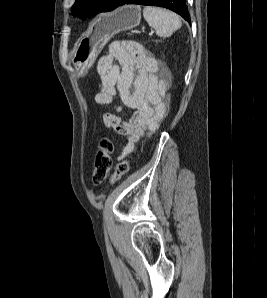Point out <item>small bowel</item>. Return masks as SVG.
Returning <instances> with one entry per match:
<instances>
[{"label": "small bowel", "instance_id": "1", "mask_svg": "<svg viewBox=\"0 0 267 298\" xmlns=\"http://www.w3.org/2000/svg\"><path fill=\"white\" fill-rule=\"evenodd\" d=\"M97 71L100 82L95 101L112 106L114 112L104 113L102 122L126 138L125 156L135 150L142 137L157 130L166 117L170 74L160 68L142 45L133 41L112 43L109 52L99 59ZM117 97L122 105L115 103ZM123 107L133 110L128 120L118 115Z\"/></svg>", "mask_w": 267, "mask_h": 298}]
</instances>
